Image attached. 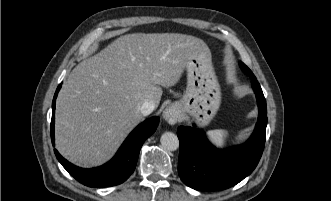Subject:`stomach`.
Wrapping results in <instances>:
<instances>
[{
	"instance_id": "0dacf381",
	"label": "stomach",
	"mask_w": 331,
	"mask_h": 201,
	"mask_svg": "<svg viewBox=\"0 0 331 201\" xmlns=\"http://www.w3.org/2000/svg\"><path fill=\"white\" fill-rule=\"evenodd\" d=\"M186 71V91L174 106L182 118L191 117L199 127H205L216 115L221 102L220 85L209 49L197 52L187 62Z\"/></svg>"
}]
</instances>
